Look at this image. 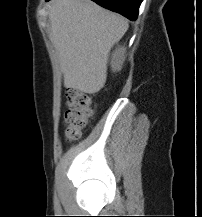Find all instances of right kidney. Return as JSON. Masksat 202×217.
<instances>
[{
  "label": "right kidney",
  "mask_w": 202,
  "mask_h": 217,
  "mask_svg": "<svg viewBox=\"0 0 202 217\" xmlns=\"http://www.w3.org/2000/svg\"><path fill=\"white\" fill-rule=\"evenodd\" d=\"M125 50L126 49L124 47H118L113 52L111 59V67L114 72L121 70L125 60Z\"/></svg>",
  "instance_id": "ca27d5eb"
}]
</instances>
